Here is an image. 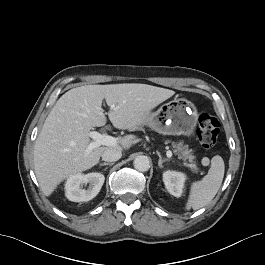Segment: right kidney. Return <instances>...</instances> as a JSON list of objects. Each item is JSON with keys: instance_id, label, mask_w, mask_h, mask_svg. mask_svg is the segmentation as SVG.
Wrapping results in <instances>:
<instances>
[{"instance_id": "1", "label": "right kidney", "mask_w": 265, "mask_h": 265, "mask_svg": "<svg viewBox=\"0 0 265 265\" xmlns=\"http://www.w3.org/2000/svg\"><path fill=\"white\" fill-rule=\"evenodd\" d=\"M105 177L101 173L75 174L65 184V195L73 202H85L93 199L100 191ZM89 184L87 189L83 185Z\"/></svg>"}]
</instances>
